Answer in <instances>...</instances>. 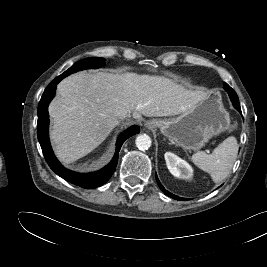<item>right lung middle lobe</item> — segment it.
I'll return each mask as SVG.
<instances>
[{"label": "right lung middle lobe", "mask_w": 267, "mask_h": 267, "mask_svg": "<svg viewBox=\"0 0 267 267\" xmlns=\"http://www.w3.org/2000/svg\"><path fill=\"white\" fill-rule=\"evenodd\" d=\"M104 63H105L104 58H98V57L86 58V59L76 62L72 67H70L67 71H65L60 76L66 77L74 72H77L79 70H84V69H90V68L96 69V68L102 67Z\"/></svg>", "instance_id": "1"}]
</instances>
